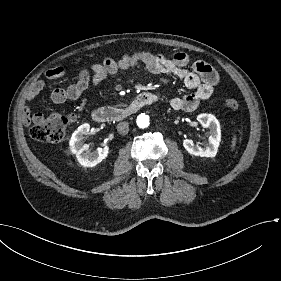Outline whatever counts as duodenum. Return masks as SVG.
Listing matches in <instances>:
<instances>
[{"label":"duodenum","mask_w":281,"mask_h":281,"mask_svg":"<svg viewBox=\"0 0 281 281\" xmlns=\"http://www.w3.org/2000/svg\"><path fill=\"white\" fill-rule=\"evenodd\" d=\"M151 100L150 93H143L135 97L131 104L125 108H108L103 107L95 110L92 114V118L96 122H119L131 114L148 104Z\"/></svg>","instance_id":"duodenum-1"}]
</instances>
